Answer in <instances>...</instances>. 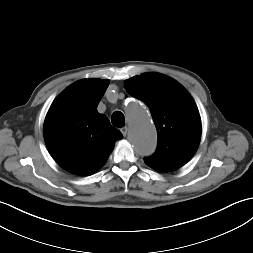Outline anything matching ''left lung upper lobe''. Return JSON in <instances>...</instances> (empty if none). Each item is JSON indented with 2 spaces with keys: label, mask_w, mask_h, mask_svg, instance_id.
I'll use <instances>...</instances> for the list:
<instances>
[{
  "label": "left lung upper lobe",
  "mask_w": 253,
  "mask_h": 253,
  "mask_svg": "<svg viewBox=\"0 0 253 253\" xmlns=\"http://www.w3.org/2000/svg\"><path fill=\"white\" fill-rule=\"evenodd\" d=\"M126 91L150 109L158 133V147L145 163L160 172L174 171L196 152L201 118L187 90L160 73H144L124 82Z\"/></svg>",
  "instance_id": "1"
}]
</instances>
